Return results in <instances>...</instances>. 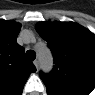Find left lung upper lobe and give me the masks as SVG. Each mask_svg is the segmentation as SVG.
Segmentation results:
<instances>
[{
  "label": "left lung upper lobe",
  "instance_id": "left-lung-upper-lobe-1",
  "mask_svg": "<svg viewBox=\"0 0 95 95\" xmlns=\"http://www.w3.org/2000/svg\"><path fill=\"white\" fill-rule=\"evenodd\" d=\"M40 36L54 57L49 75L40 73L49 95H88L95 87V35L74 22H41Z\"/></svg>",
  "mask_w": 95,
  "mask_h": 95
}]
</instances>
